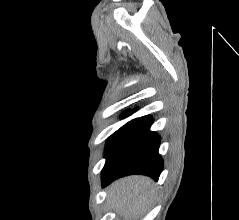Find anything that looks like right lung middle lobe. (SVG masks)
<instances>
[{"label":"right lung middle lobe","mask_w":239,"mask_h":220,"mask_svg":"<svg viewBox=\"0 0 239 220\" xmlns=\"http://www.w3.org/2000/svg\"><path fill=\"white\" fill-rule=\"evenodd\" d=\"M116 132H117V131H116ZM116 132L108 138V141H107V147H108L109 144L111 143V141H112V139L114 138Z\"/></svg>","instance_id":"right-lung-middle-lobe-1"}]
</instances>
